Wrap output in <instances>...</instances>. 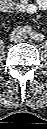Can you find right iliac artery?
<instances>
[{
	"mask_svg": "<svg viewBox=\"0 0 47 129\" xmlns=\"http://www.w3.org/2000/svg\"><path fill=\"white\" fill-rule=\"evenodd\" d=\"M25 31H26L28 34H30V33H31L30 27H25Z\"/></svg>",
	"mask_w": 47,
	"mask_h": 129,
	"instance_id": "1",
	"label": "right iliac artery"
}]
</instances>
